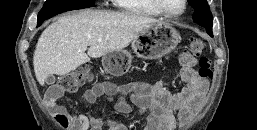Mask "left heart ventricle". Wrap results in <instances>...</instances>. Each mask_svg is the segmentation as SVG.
Returning <instances> with one entry per match:
<instances>
[{"mask_svg": "<svg viewBox=\"0 0 257 130\" xmlns=\"http://www.w3.org/2000/svg\"><path fill=\"white\" fill-rule=\"evenodd\" d=\"M163 6L170 12H179L183 7V0H160Z\"/></svg>", "mask_w": 257, "mask_h": 130, "instance_id": "obj_1", "label": "left heart ventricle"}]
</instances>
